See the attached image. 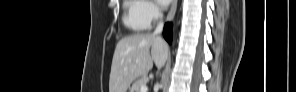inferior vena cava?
Wrapping results in <instances>:
<instances>
[{
	"label": "inferior vena cava",
	"instance_id": "obj_1",
	"mask_svg": "<svg viewBox=\"0 0 296 92\" xmlns=\"http://www.w3.org/2000/svg\"><path fill=\"white\" fill-rule=\"evenodd\" d=\"M159 16H160V17L162 16L161 13H159ZM162 29H163V22L160 21V22L158 23V25H157V27H156V29H155L153 35H158V34H160L161 31H162Z\"/></svg>",
	"mask_w": 296,
	"mask_h": 92
}]
</instances>
